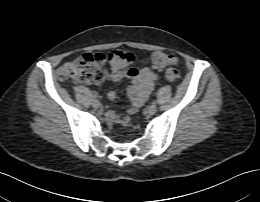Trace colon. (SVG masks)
Here are the masks:
<instances>
[{
  "mask_svg": "<svg viewBox=\"0 0 260 202\" xmlns=\"http://www.w3.org/2000/svg\"><path fill=\"white\" fill-rule=\"evenodd\" d=\"M132 61L133 55L123 49L113 50L108 54H84L63 64L58 70V76L63 81L98 85L112 75L107 70V62L119 71L125 72ZM176 62V57L166 52L158 51L150 56L152 69H165L164 77L169 81L180 79L179 71L173 67Z\"/></svg>",
  "mask_w": 260,
  "mask_h": 202,
  "instance_id": "5ec220e1",
  "label": "colon"
}]
</instances>
